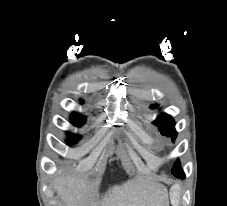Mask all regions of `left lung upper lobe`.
I'll use <instances>...</instances> for the list:
<instances>
[{"mask_svg":"<svg viewBox=\"0 0 227 206\" xmlns=\"http://www.w3.org/2000/svg\"><path fill=\"white\" fill-rule=\"evenodd\" d=\"M156 107V106H152ZM154 124L158 126L159 131L166 136H171L172 140L177 136V132L174 129L175 123L170 115L162 113L158 116V118L154 121ZM183 172L179 160H177L172 168V174L176 175L178 173Z\"/></svg>","mask_w":227,"mask_h":206,"instance_id":"1","label":"left lung upper lobe"}]
</instances>
